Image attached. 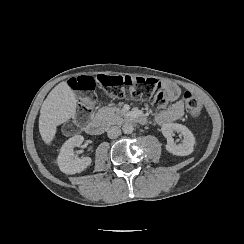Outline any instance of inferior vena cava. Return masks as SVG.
I'll return each instance as SVG.
<instances>
[{
  "label": "inferior vena cava",
  "mask_w": 244,
  "mask_h": 244,
  "mask_svg": "<svg viewBox=\"0 0 244 244\" xmlns=\"http://www.w3.org/2000/svg\"><path fill=\"white\" fill-rule=\"evenodd\" d=\"M107 134L111 139L117 138L121 134V129L118 126H111L108 129Z\"/></svg>",
  "instance_id": "1"
}]
</instances>
